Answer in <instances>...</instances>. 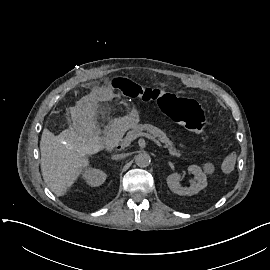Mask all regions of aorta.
Masks as SVG:
<instances>
[{
	"mask_svg": "<svg viewBox=\"0 0 270 270\" xmlns=\"http://www.w3.org/2000/svg\"><path fill=\"white\" fill-rule=\"evenodd\" d=\"M151 158L147 153H140L135 156V163L138 167L145 168L150 165Z\"/></svg>",
	"mask_w": 270,
	"mask_h": 270,
	"instance_id": "1",
	"label": "aorta"
}]
</instances>
